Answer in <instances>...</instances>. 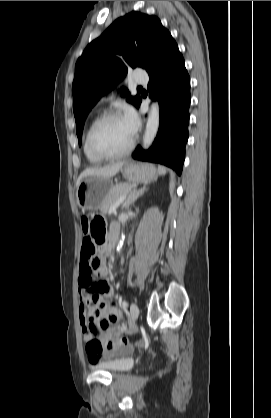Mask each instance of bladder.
Here are the masks:
<instances>
[{"instance_id":"1","label":"bladder","mask_w":271,"mask_h":418,"mask_svg":"<svg viewBox=\"0 0 271 418\" xmlns=\"http://www.w3.org/2000/svg\"><path fill=\"white\" fill-rule=\"evenodd\" d=\"M130 353V350H126L105 361L98 363L96 367L97 369H101L113 374L125 372L132 366Z\"/></svg>"}]
</instances>
